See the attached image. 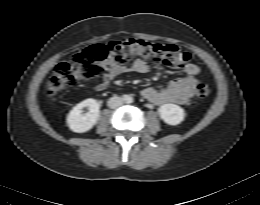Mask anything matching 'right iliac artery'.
Listing matches in <instances>:
<instances>
[{"instance_id": "right-iliac-artery-1", "label": "right iliac artery", "mask_w": 260, "mask_h": 205, "mask_svg": "<svg viewBox=\"0 0 260 205\" xmlns=\"http://www.w3.org/2000/svg\"><path fill=\"white\" fill-rule=\"evenodd\" d=\"M123 100H127V96L126 95H123Z\"/></svg>"}]
</instances>
